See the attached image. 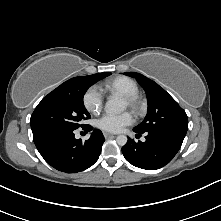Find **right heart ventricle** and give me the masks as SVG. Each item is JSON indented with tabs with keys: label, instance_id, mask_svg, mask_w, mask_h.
Returning a JSON list of instances; mask_svg holds the SVG:
<instances>
[{
	"label": "right heart ventricle",
	"instance_id": "e07e8e85",
	"mask_svg": "<svg viewBox=\"0 0 221 221\" xmlns=\"http://www.w3.org/2000/svg\"><path fill=\"white\" fill-rule=\"evenodd\" d=\"M106 91L123 97L138 94L139 87L135 80L127 76H117L104 84Z\"/></svg>",
	"mask_w": 221,
	"mask_h": 221
}]
</instances>
